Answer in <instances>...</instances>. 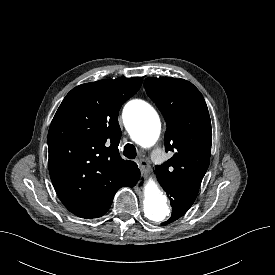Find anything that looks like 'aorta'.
I'll return each mask as SVG.
<instances>
[{"instance_id":"1","label":"aorta","mask_w":275,"mask_h":275,"mask_svg":"<svg viewBox=\"0 0 275 275\" xmlns=\"http://www.w3.org/2000/svg\"><path fill=\"white\" fill-rule=\"evenodd\" d=\"M123 120L131 138L142 147L156 143L161 131V121L156 110L142 100L129 102L123 110ZM143 211L154 224L166 221L171 210L167 198L154 181L144 187Z\"/></svg>"}]
</instances>
